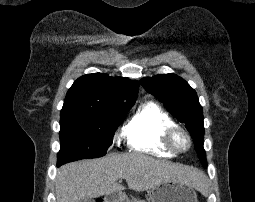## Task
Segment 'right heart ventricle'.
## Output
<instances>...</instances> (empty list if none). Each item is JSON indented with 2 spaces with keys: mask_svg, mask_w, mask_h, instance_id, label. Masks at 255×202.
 <instances>
[{
  "mask_svg": "<svg viewBox=\"0 0 255 202\" xmlns=\"http://www.w3.org/2000/svg\"><path fill=\"white\" fill-rule=\"evenodd\" d=\"M174 121L157 103L142 104L127 120L121 136L135 151L170 158L175 155L163 143V135Z\"/></svg>",
  "mask_w": 255,
  "mask_h": 202,
  "instance_id": "e07e8e85",
  "label": "right heart ventricle"
}]
</instances>
